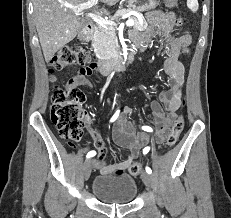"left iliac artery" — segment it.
<instances>
[{"instance_id": "left-iliac-artery-1", "label": "left iliac artery", "mask_w": 231, "mask_h": 218, "mask_svg": "<svg viewBox=\"0 0 231 218\" xmlns=\"http://www.w3.org/2000/svg\"><path fill=\"white\" fill-rule=\"evenodd\" d=\"M142 129H143L144 131H147V132H152V131H153V129H152L151 127H149V126H143ZM149 150H150V147H145V148L143 149V154H147V153L149 152ZM146 172H147L148 174H151V173H152L151 168L147 166V167H146Z\"/></svg>"}]
</instances>
